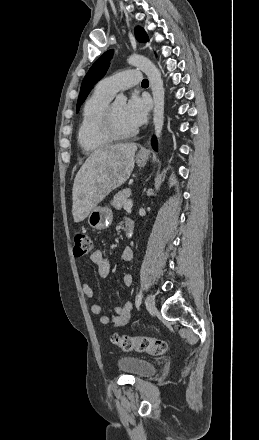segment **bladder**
Masks as SVG:
<instances>
[{
    "label": "bladder",
    "mask_w": 259,
    "mask_h": 440,
    "mask_svg": "<svg viewBox=\"0 0 259 440\" xmlns=\"http://www.w3.org/2000/svg\"><path fill=\"white\" fill-rule=\"evenodd\" d=\"M117 365L120 371L134 377H147L156 370L152 362L134 355L122 356Z\"/></svg>",
    "instance_id": "bladder-1"
}]
</instances>
